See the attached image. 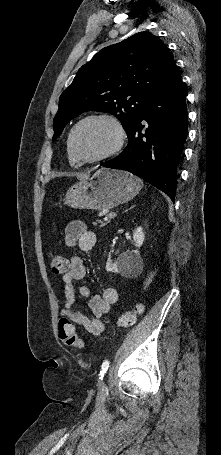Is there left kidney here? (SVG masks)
<instances>
[{
	"instance_id": "obj_1",
	"label": "left kidney",
	"mask_w": 221,
	"mask_h": 455,
	"mask_svg": "<svg viewBox=\"0 0 221 455\" xmlns=\"http://www.w3.org/2000/svg\"><path fill=\"white\" fill-rule=\"evenodd\" d=\"M133 240L137 248H140L145 240L142 227H137L133 231ZM140 262V252L138 250L127 251L120 254L113 262L111 255L107 259L106 270L113 273L130 272L137 267Z\"/></svg>"
}]
</instances>
